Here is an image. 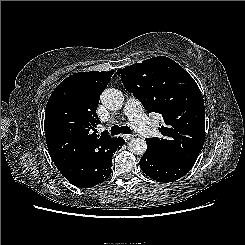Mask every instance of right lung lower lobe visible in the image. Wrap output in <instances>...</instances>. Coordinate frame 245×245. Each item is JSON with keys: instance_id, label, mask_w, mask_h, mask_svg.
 <instances>
[{"instance_id": "1", "label": "right lung lower lobe", "mask_w": 245, "mask_h": 245, "mask_svg": "<svg viewBox=\"0 0 245 245\" xmlns=\"http://www.w3.org/2000/svg\"><path fill=\"white\" fill-rule=\"evenodd\" d=\"M124 143V139L119 137L96 146L87 160V172L90 173L87 178H84L78 169L70 165L55 166L74 186L90 188L108 179L111 174L112 155L120 150Z\"/></svg>"}]
</instances>
